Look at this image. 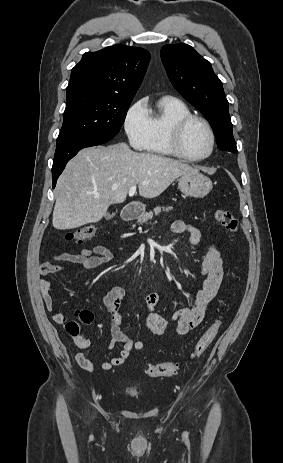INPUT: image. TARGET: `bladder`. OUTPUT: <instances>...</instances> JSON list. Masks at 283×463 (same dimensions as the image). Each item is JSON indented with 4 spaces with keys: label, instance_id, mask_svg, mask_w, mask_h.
I'll use <instances>...</instances> for the list:
<instances>
[{
    "label": "bladder",
    "instance_id": "bladder-1",
    "mask_svg": "<svg viewBox=\"0 0 283 463\" xmlns=\"http://www.w3.org/2000/svg\"><path fill=\"white\" fill-rule=\"evenodd\" d=\"M126 394H128V395H130V396H136V395H137V392L134 391V390L128 389V390L126 391Z\"/></svg>",
    "mask_w": 283,
    "mask_h": 463
}]
</instances>
